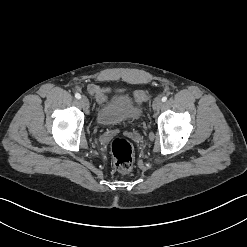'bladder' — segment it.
Segmentation results:
<instances>
[{
  "label": "bladder",
  "instance_id": "31cf9c89",
  "mask_svg": "<svg viewBox=\"0 0 247 247\" xmlns=\"http://www.w3.org/2000/svg\"><path fill=\"white\" fill-rule=\"evenodd\" d=\"M140 114V108L134 106L128 96L121 95L98 111L96 123L103 126L116 125L127 118H138Z\"/></svg>",
  "mask_w": 247,
  "mask_h": 247
}]
</instances>
